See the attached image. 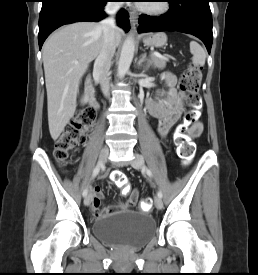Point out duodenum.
I'll use <instances>...</instances> for the list:
<instances>
[{"mask_svg": "<svg viewBox=\"0 0 258 275\" xmlns=\"http://www.w3.org/2000/svg\"><path fill=\"white\" fill-rule=\"evenodd\" d=\"M86 99L88 104L95 110L98 107V102L96 99V94H95V88L89 84L87 87V93H86Z\"/></svg>", "mask_w": 258, "mask_h": 275, "instance_id": "duodenum-1", "label": "duodenum"}]
</instances>
